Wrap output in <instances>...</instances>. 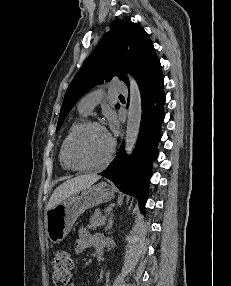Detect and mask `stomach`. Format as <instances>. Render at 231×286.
<instances>
[{
	"mask_svg": "<svg viewBox=\"0 0 231 286\" xmlns=\"http://www.w3.org/2000/svg\"><path fill=\"white\" fill-rule=\"evenodd\" d=\"M114 188L99 182L81 189L46 212V233L51 243H60L72 229L77 218L87 209L109 202Z\"/></svg>",
	"mask_w": 231,
	"mask_h": 286,
	"instance_id": "1",
	"label": "stomach"
}]
</instances>
